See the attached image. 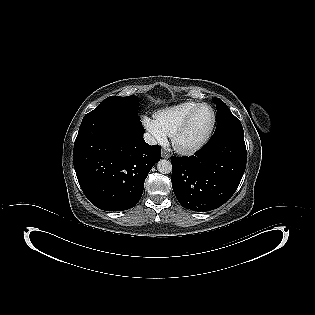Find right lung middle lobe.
<instances>
[{
  "label": "right lung middle lobe",
  "instance_id": "dd1d6c3e",
  "mask_svg": "<svg viewBox=\"0 0 315 315\" xmlns=\"http://www.w3.org/2000/svg\"><path fill=\"white\" fill-rule=\"evenodd\" d=\"M139 99L137 96H110L103 100L96 109L110 108L123 114L138 116Z\"/></svg>",
  "mask_w": 315,
  "mask_h": 315
}]
</instances>
